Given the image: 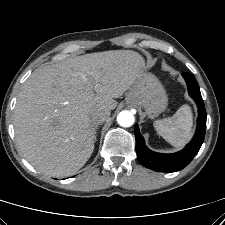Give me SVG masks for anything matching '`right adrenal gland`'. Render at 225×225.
Returning <instances> with one entry per match:
<instances>
[{"instance_id":"right-adrenal-gland-1","label":"right adrenal gland","mask_w":225,"mask_h":225,"mask_svg":"<svg viewBox=\"0 0 225 225\" xmlns=\"http://www.w3.org/2000/svg\"><path fill=\"white\" fill-rule=\"evenodd\" d=\"M97 129H98V125H96V126L94 127V141H95V142L97 141V138H96V136H97Z\"/></svg>"}]
</instances>
